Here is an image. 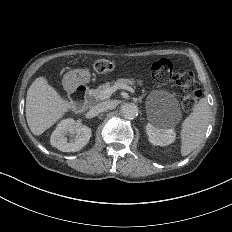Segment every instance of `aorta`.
I'll return each instance as SVG.
<instances>
[{"label":"aorta","mask_w":232,"mask_h":232,"mask_svg":"<svg viewBox=\"0 0 232 232\" xmlns=\"http://www.w3.org/2000/svg\"><path fill=\"white\" fill-rule=\"evenodd\" d=\"M121 112H122L124 117H126L128 119H133L136 116H138L139 109L133 103H125L121 107Z\"/></svg>","instance_id":"1"}]
</instances>
